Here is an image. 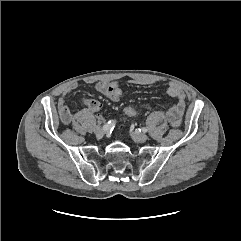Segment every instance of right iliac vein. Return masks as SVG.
<instances>
[{
	"instance_id": "right-iliac-vein-1",
	"label": "right iliac vein",
	"mask_w": 241,
	"mask_h": 241,
	"mask_svg": "<svg viewBox=\"0 0 241 241\" xmlns=\"http://www.w3.org/2000/svg\"><path fill=\"white\" fill-rule=\"evenodd\" d=\"M94 132L98 137H102L105 134V130L103 129V127L100 126H97Z\"/></svg>"
}]
</instances>
